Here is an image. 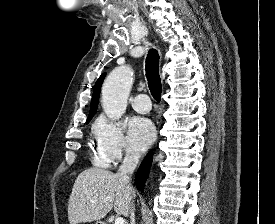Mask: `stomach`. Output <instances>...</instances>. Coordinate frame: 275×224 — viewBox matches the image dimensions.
I'll return each instance as SVG.
<instances>
[{
  "label": "stomach",
  "instance_id": "stomach-1",
  "mask_svg": "<svg viewBox=\"0 0 275 224\" xmlns=\"http://www.w3.org/2000/svg\"><path fill=\"white\" fill-rule=\"evenodd\" d=\"M95 224H104L103 222H97V223H95Z\"/></svg>",
  "mask_w": 275,
  "mask_h": 224
}]
</instances>
